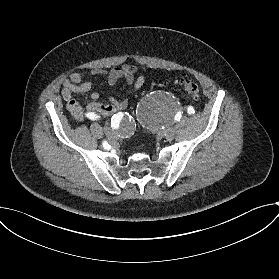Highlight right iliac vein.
Here are the masks:
<instances>
[{
	"label": "right iliac vein",
	"instance_id": "obj_1",
	"mask_svg": "<svg viewBox=\"0 0 279 279\" xmlns=\"http://www.w3.org/2000/svg\"><path fill=\"white\" fill-rule=\"evenodd\" d=\"M104 132L106 133V135H108L109 137H112L114 135V132L111 128L109 127H105L104 128Z\"/></svg>",
	"mask_w": 279,
	"mask_h": 279
}]
</instances>
